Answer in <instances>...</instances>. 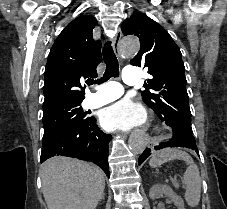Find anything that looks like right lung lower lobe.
I'll return each instance as SVG.
<instances>
[{
  "label": "right lung lower lobe",
  "mask_w": 227,
  "mask_h": 209,
  "mask_svg": "<svg viewBox=\"0 0 227 209\" xmlns=\"http://www.w3.org/2000/svg\"><path fill=\"white\" fill-rule=\"evenodd\" d=\"M109 134L99 129L93 117L43 138L40 162L53 156H68L97 164L109 177Z\"/></svg>",
  "instance_id": "obj_1"
}]
</instances>
